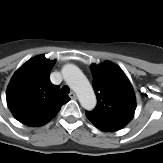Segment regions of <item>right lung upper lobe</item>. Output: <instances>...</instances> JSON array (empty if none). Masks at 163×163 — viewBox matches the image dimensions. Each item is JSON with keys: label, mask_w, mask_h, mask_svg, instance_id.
<instances>
[{"label": "right lung upper lobe", "mask_w": 163, "mask_h": 163, "mask_svg": "<svg viewBox=\"0 0 163 163\" xmlns=\"http://www.w3.org/2000/svg\"><path fill=\"white\" fill-rule=\"evenodd\" d=\"M55 60L44 55L31 58L13 75L6 92L14 117L29 126H42L51 120L70 98L50 82Z\"/></svg>", "instance_id": "1"}]
</instances>
